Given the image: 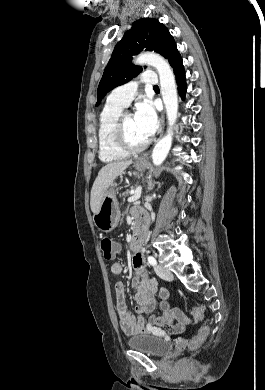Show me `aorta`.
I'll use <instances>...</instances> for the list:
<instances>
[{
	"label": "aorta",
	"instance_id": "aorta-1",
	"mask_svg": "<svg viewBox=\"0 0 265 390\" xmlns=\"http://www.w3.org/2000/svg\"><path fill=\"white\" fill-rule=\"evenodd\" d=\"M135 64H148L154 67L160 79L161 94L166 108L169 128L167 134L159 140L152 152L154 165L159 166L167 157L172 145L173 126L178 113V96L175 77L169 63L160 55L155 53H144L139 55Z\"/></svg>",
	"mask_w": 265,
	"mask_h": 390
}]
</instances>
